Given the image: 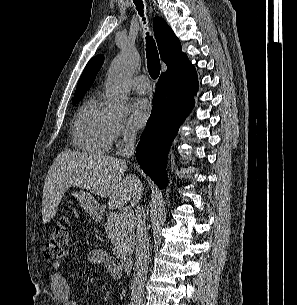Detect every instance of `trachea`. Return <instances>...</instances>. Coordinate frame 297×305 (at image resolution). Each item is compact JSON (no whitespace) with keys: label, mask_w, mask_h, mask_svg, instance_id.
<instances>
[{"label":"trachea","mask_w":297,"mask_h":305,"mask_svg":"<svg viewBox=\"0 0 297 305\" xmlns=\"http://www.w3.org/2000/svg\"><path fill=\"white\" fill-rule=\"evenodd\" d=\"M140 15H143V3L141 0H133ZM146 58L149 75L152 79H157L160 74V60L156 44L152 37H146Z\"/></svg>","instance_id":"1"}]
</instances>
